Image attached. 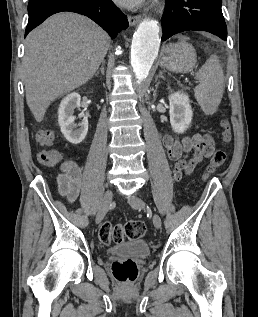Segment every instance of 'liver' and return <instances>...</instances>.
Instances as JSON below:
<instances>
[{"label": "liver", "mask_w": 258, "mask_h": 317, "mask_svg": "<svg viewBox=\"0 0 258 317\" xmlns=\"http://www.w3.org/2000/svg\"><path fill=\"white\" fill-rule=\"evenodd\" d=\"M109 44L101 26L75 12L53 14L29 32L22 70L27 104L37 122L52 100L95 74Z\"/></svg>", "instance_id": "1"}]
</instances>
